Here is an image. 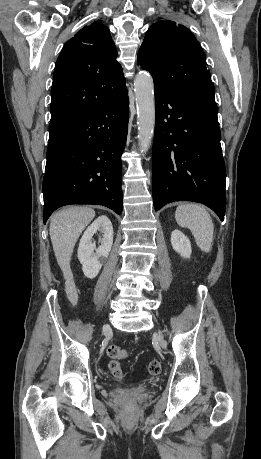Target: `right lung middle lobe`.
<instances>
[{"label": "right lung middle lobe", "mask_w": 261, "mask_h": 459, "mask_svg": "<svg viewBox=\"0 0 261 459\" xmlns=\"http://www.w3.org/2000/svg\"><path fill=\"white\" fill-rule=\"evenodd\" d=\"M69 125L61 124V125H54L49 127V139L56 137L62 131H64Z\"/></svg>", "instance_id": "1"}]
</instances>
